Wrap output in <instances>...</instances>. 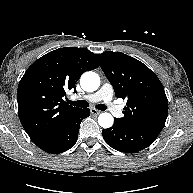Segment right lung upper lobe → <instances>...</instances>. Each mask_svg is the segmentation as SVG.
I'll list each match as a JSON object with an SVG mask.
<instances>
[{
  "instance_id": "1",
  "label": "right lung upper lobe",
  "mask_w": 193,
  "mask_h": 193,
  "mask_svg": "<svg viewBox=\"0 0 193 193\" xmlns=\"http://www.w3.org/2000/svg\"><path fill=\"white\" fill-rule=\"evenodd\" d=\"M98 66L89 50L64 47L45 54L26 70L18 85V115L35 145L50 139L80 112L63 100L65 91L76 90L80 76Z\"/></svg>"
}]
</instances>
